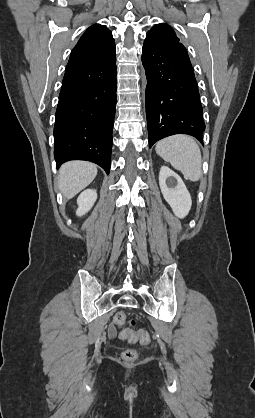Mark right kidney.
Listing matches in <instances>:
<instances>
[{
    "label": "right kidney",
    "mask_w": 255,
    "mask_h": 418,
    "mask_svg": "<svg viewBox=\"0 0 255 418\" xmlns=\"http://www.w3.org/2000/svg\"><path fill=\"white\" fill-rule=\"evenodd\" d=\"M96 199H97L96 190L87 189L83 191L77 199V204H78V209L76 211L77 216H83L84 214H86L92 208V206L96 202Z\"/></svg>",
    "instance_id": "1"
}]
</instances>
